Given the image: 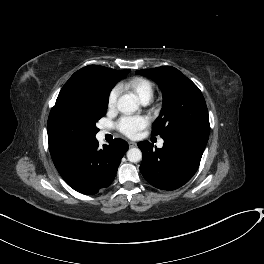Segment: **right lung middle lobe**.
I'll return each instance as SVG.
<instances>
[{"instance_id": "right-lung-middle-lobe-1", "label": "right lung middle lobe", "mask_w": 264, "mask_h": 264, "mask_svg": "<svg viewBox=\"0 0 264 264\" xmlns=\"http://www.w3.org/2000/svg\"><path fill=\"white\" fill-rule=\"evenodd\" d=\"M129 71L104 73L66 83L48 119L57 133L66 140L95 138L99 131L96 122L106 113L111 89Z\"/></svg>"}]
</instances>
